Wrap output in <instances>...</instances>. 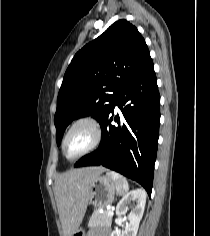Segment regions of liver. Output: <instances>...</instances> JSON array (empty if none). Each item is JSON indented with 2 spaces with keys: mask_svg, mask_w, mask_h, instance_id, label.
<instances>
[{
  "mask_svg": "<svg viewBox=\"0 0 210 236\" xmlns=\"http://www.w3.org/2000/svg\"><path fill=\"white\" fill-rule=\"evenodd\" d=\"M104 171V167L73 169L55 180L54 192L64 236H72L78 230L87 208L91 183Z\"/></svg>",
  "mask_w": 210,
  "mask_h": 236,
  "instance_id": "1",
  "label": "liver"
}]
</instances>
